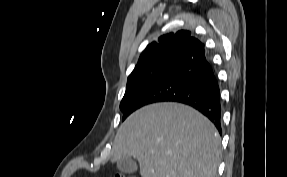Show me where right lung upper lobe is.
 Segmentation results:
<instances>
[{"mask_svg":"<svg viewBox=\"0 0 287 177\" xmlns=\"http://www.w3.org/2000/svg\"><path fill=\"white\" fill-rule=\"evenodd\" d=\"M203 45L190 31L180 30L159 37L142 52L134 71L149 67L166 58H179L182 62L196 57Z\"/></svg>","mask_w":287,"mask_h":177,"instance_id":"right-lung-upper-lobe-1","label":"right lung upper lobe"}]
</instances>
